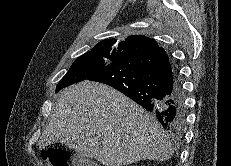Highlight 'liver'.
<instances>
[{
  "instance_id": "liver-1",
  "label": "liver",
  "mask_w": 231,
  "mask_h": 166,
  "mask_svg": "<svg viewBox=\"0 0 231 166\" xmlns=\"http://www.w3.org/2000/svg\"><path fill=\"white\" fill-rule=\"evenodd\" d=\"M56 141L104 166L163 162L174 153L154 116L112 87L91 81L69 86L55 101L39 149Z\"/></svg>"
}]
</instances>
